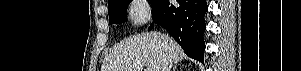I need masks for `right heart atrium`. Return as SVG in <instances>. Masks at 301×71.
Instances as JSON below:
<instances>
[{"instance_id": "right-heart-atrium-1", "label": "right heart atrium", "mask_w": 301, "mask_h": 71, "mask_svg": "<svg viewBox=\"0 0 301 71\" xmlns=\"http://www.w3.org/2000/svg\"><path fill=\"white\" fill-rule=\"evenodd\" d=\"M128 16L132 24H145L150 18L149 6L144 0L132 1L128 7Z\"/></svg>"}]
</instances>
